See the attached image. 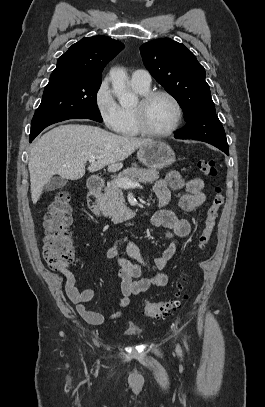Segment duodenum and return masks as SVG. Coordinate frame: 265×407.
<instances>
[{
	"instance_id": "duodenum-1",
	"label": "duodenum",
	"mask_w": 265,
	"mask_h": 407,
	"mask_svg": "<svg viewBox=\"0 0 265 407\" xmlns=\"http://www.w3.org/2000/svg\"><path fill=\"white\" fill-rule=\"evenodd\" d=\"M87 186L89 190L87 196L88 207L94 214H99L100 213L99 198L100 192L102 191L103 188V183L97 178H90L88 180Z\"/></svg>"
}]
</instances>
